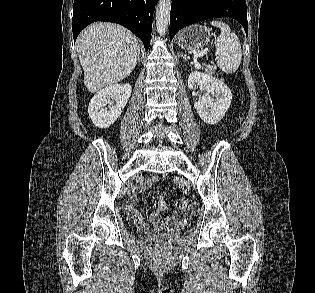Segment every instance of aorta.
<instances>
[{"label": "aorta", "mask_w": 315, "mask_h": 293, "mask_svg": "<svg viewBox=\"0 0 315 293\" xmlns=\"http://www.w3.org/2000/svg\"><path fill=\"white\" fill-rule=\"evenodd\" d=\"M171 11V0H159L156 7V28L160 35H165L168 29Z\"/></svg>", "instance_id": "1"}]
</instances>
